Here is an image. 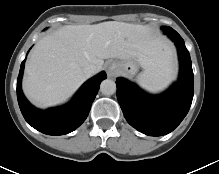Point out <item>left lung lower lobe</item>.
Returning <instances> with one entry per match:
<instances>
[{
  "mask_svg": "<svg viewBox=\"0 0 219 174\" xmlns=\"http://www.w3.org/2000/svg\"><path fill=\"white\" fill-rule=\"evenodd\" d=\"M176 44L180 76L165 93L153 96L124 78H117V99L130 125L149 136L172 132L187 115L194 94V76L191 58L184 40L176 32L167 34Z\"/></svg>",
  "mask_w": 219,
  "mask_h": 174,
  "instance_id": "1",
  "label": "left lung lower lobe"
}]
</instances>
